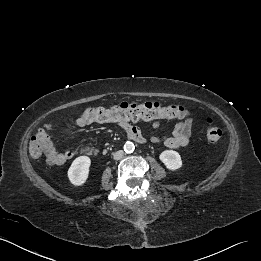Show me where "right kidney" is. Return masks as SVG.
<instances>
[{"mask_svg": "<svg viewBox=\"0 0 261 261\" xmlns=\"http://www.w3.org/2000/svg\"><path fill=\"white\" fill-rule=\"evenodd\" d=\"M90 165L88 156L77 157L68 170L69 181L75 186L83 185L88 178Z\"/></svg>", "mask_w": 261, "mask_h": 261, "instance_id": "right-kidney-1", "label": "right kidney"}]
</instances>
